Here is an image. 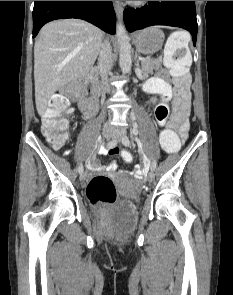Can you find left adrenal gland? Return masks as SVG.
<instances>
[{"instance_id": "a2214340", "label": "left adrenal gland", "mask_w": 233, "mask_h": 295, "mask_svg": "<svg viewBox=\"0 0 233 295\" xmlns=\"http://www.w3.org/2000/svg\"><path fill=\"white\" fill-rule=\"evenodd\" d=\"M137 58H138V54H137V52H136V53H135V57H134V60H135V62H136L135 64H136L137 67H140V66H139V61H138Z\"/></svg>"}]
</instances>
